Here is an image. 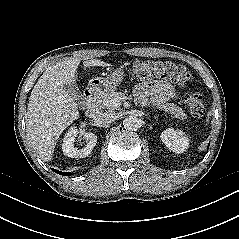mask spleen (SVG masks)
Returning <instances> with one entry per match:
<instances>
[{
  "label": "spleen",
  "mask_w": 239,
  "mask_h": 239,
  "mask_svg": "<svg viewBox=\"0 0 239 239\" xmlns=\"http://www.w3.org/2000/svg\"><path fill=\"white\" fill-rule=\"evenodd\" d=\"M209 115H211V112L208 113V118L206 119V122L209 121Z\"/></svg>",
  "instance_id": "obj_1"
}]
</instances>
